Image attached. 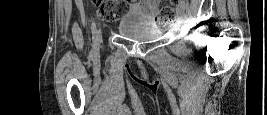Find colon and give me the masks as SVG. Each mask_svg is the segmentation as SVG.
<instances>
[{"instance_id": "colon-1", "label": "colon", "mask_w": 267, "mask_h": 115, "mask_svg": "<svg viewBox=\"0 0 267 115\" xmlns=\"http://www.w3.org/2000/svg\"><path fill=\"white\" fill-rule=\"evenodd\" d=\"M177 0L157 9L155 19L161 24H168L176 19L174 6ZM129 10V3L126 0H106L100 6L99 15L107 22H114L124 17Z\"/></svg>"}]
</instances>
